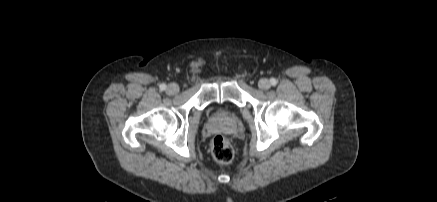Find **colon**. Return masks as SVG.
<instances>
[{"mask_svg":"<svg viewBox=\"0 0 437 202\" xmlns=\"http://www.w3.org/2000/svg\"><path fill=\"white\" fill-rule=\"evenodd\" d=\"M211 152L213 158L222 164L230 163L234 158V149L230 140L224 135H216L212 141Z\"/></svg>","mask_w":437,"mask_h":202,"instance_id":"5ec220e1","label":"colon"}]
</instances>
